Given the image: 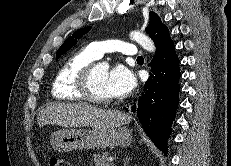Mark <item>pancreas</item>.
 <instances>
[{"label": "pancreas", "instance_id": "cf45deb5", "mask_svg": "<svg viewBox=\"0 0 231 166\" xmlns=\"http://www.w3.org/2000/svg\"><path fill=\"white\" fill-rule=\"evenodd\" d=\"M110 153L103 152L102 154L93 155L92 161L95 163V166H111L110 163L106 162Z\"/></svg>", "mask_w": 231, "mask_h": 166}]
</instances>
